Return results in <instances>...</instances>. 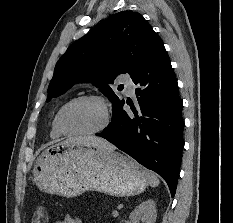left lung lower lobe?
I'll list each match as a JSON object with an SVG mask.
<instances>
[{
    "instance_id": "obj_1",
    "label": "left lung lower lobe",
    "mask_w": 233,
    "mask_h": 223,
    "mask_svg": "<svg viewBox=\"0 0 233 223\" xmlns=\"http://www.w3.org/2000/svg\"><path fill=\"white\" fill-rule=\"evenodd\" d=\"M132 80L138 86V104L128 113L122 105L97 135L163 177L173 197L184 146L183 101L160 38Z\"/></svg>"
}]
</instances>
